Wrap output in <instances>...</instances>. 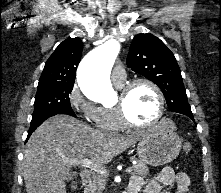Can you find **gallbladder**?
<instances>
[{
    "instance_id": "gallbladder-1",
    "label": "gallbladder",
    "mask_w": 221,
    "mask_h": 193,
    "mask_svg": "<svg viewBox=\"0 0 221 193\" xmlns=\"http://www.w3.org/2000/svg\"><path fill=\"white\" fill-rule=\"evenodd\" d=\"M75 176H76V174L72 173V174L69 175V177H68L67 180H71V179H73Z\"/></svg>"
}]
</instances>
